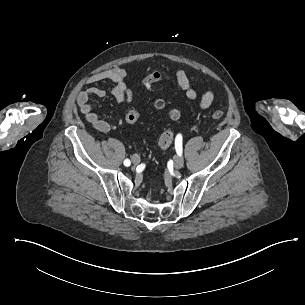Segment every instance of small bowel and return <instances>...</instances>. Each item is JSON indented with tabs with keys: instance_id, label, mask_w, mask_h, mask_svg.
<instances>
[{
	"instance_id": "c3829d8e",
	"label": "small bowel",
	"mask_w": 305,
	"mask_h": 305,
	"mask_svg": "<svg viewBox=\"0 0 305 305\" xmlns=\"http://www.w3.org/2000/svg\"><path fill=\"white\" fill-rule=\"evenodd\" d=\"M179 71L181 73V80L178 85L185 91L189 99H198L199 109H207L214 100V93L212 91H206L199 97L197 91L191 86L186 72L184 70ZM128 77L129 74L125 69L121 67H113L92 75L89 81H112L114 83L112 94L116 101L121 104L130 105L134 100V93L132 89L129 88L126 84V80L128 79ZM105 94L106 92L102 88L91 87L81 92L77 98L78 108L83 114L86 121L94 129L103 133L109 132L111 130V124L94 111L93 106L91 104V99L104 97Z\"/></svg>"
}]
</instances>
